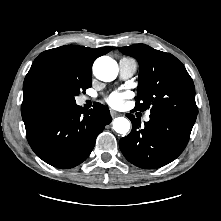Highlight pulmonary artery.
<instances>
[{
    "instance_id": "pulmonary-artery-1",
    "label": "pulmonary artery",
    "mask_w": 221,
    "mask_h": 221,
    "mask_svg": "<svg viewBox=\"0 0 221 221\" xmlns=\"http://www.w3.org/2000/svg\"><path fill=\"white\" fill-rule=\"evenodd\" d=\"M137 70V62L132 58L122 57L119 60V77L121 79L131 78ZM88 97H84L83 100H87ZM150 112L145 116V120L148 121Z\"/></svg>"
}]
</instances>
